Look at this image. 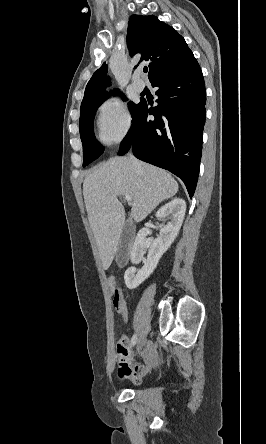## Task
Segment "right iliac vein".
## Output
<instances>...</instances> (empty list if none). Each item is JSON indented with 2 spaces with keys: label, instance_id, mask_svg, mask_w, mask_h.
<instances>
[{
  "label": "right iliac vein",
  "instance_id": "63e3f726",
  "mask_svg": "<svg viewBox=\"0 0 266 444\" xmlns=\"http://www.w3.org/2000/svg\"><path fill=\"white\" fill-rule=\"evenodd\" d=\"M144 344H145V337H144V336H141V337L137 340V345H136V350H137L138 353L142 350Z\"/></svg>",
  "mask_w": 266,
  "mask_h": 444
}]
</instances>
